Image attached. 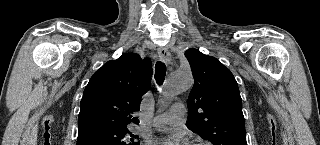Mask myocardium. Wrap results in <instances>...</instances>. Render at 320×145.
<instances>
[{"instance_id": "obj_1", "label": "myocardium", "mask_w": 320, "mask_h": 145, "mask_svg": "<svg viewBox=\"0 0 320 145\" xmlns=\"http://www.w3.org/2000/svg\"><path fill=\"white\" fill-rule=\"evenodd\" d=\"M194 145H207V144L204 142H196Z\"/></svg>"}]
</instances>
